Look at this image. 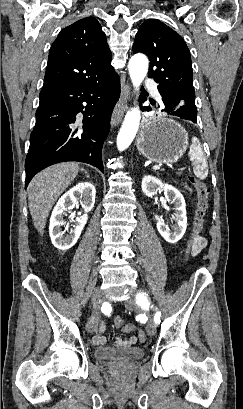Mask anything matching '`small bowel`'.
I'll return each mask as SVG.
<instances>
[{
    "instance_id": "obj_1",
    "label": "small bowel",
    "mask_w": 243,
    "mask_h": 409,
    "mask_svg": "<svg viewBox=\"0 0 243 409\" xmlns=\"http://www.w3.org/2000/svg\"><path fill=\"white\" fill-rule=\"evenodd\" d=\"M206 244H207L206 238L203 236H200L198 238L196 245L194 246L192 250V256L193 257L197 256L205 248ZM104 332H105V324H101L100 327L98 328V334H96L92 340L95 345L100 346L106 343V337L103 335ZM138 341H141L139 338V335L138 336L133 335L127 339L116 338L115 345L123 346V347H132Z\"/></svg>"
}]
</instances>
